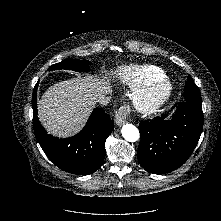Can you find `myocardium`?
I'll use <instances>...</instances> for the list:
<instances>
[{"mask_svg": "<svg viewBox=\"0 0 221 221\" xmlns=\"http://www.w3.org/2000/svg\"><path fill=\"white\" fill-rule=\"evenodd\" d=\"M172 94L168 79H156L136 92L133 97L135 109L143 115H152L162 108Z\"/></svg>", "mask_w": 221, "mask_h": 221, "instance_id": "obj_1", "label": "myocardium"}]
</instances>
